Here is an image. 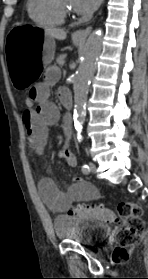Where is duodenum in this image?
Wrapping results in <instances>:
<instances>
[{"instance_id": "410a0bca", "label": "duodenum", "mask_w": 148, "mask_h": 279, "mask_svg": "<svg viewBox=\"0 0 148 279\" xmlns=\"http://www.w3.org/2000/svg\"><path fill=\"white\" fill-rule=\"evenodd\" d=\"M62 102L66 109L70 110L72 108V101L69 98L62 99Z\"/></svg>"}]
</instances>
